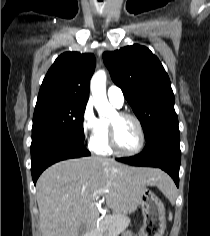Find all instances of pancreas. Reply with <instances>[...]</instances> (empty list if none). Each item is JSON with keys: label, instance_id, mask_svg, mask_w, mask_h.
<instances>
[{"label": "pancreas", "instance_id": "obj_1", "mask_svg": "<svg viewBox=\"0 0 210 236\" xmlns=\"http://www.w3.org/2000/svg\"><path fill=\"white\" fill-rule=\"evenodd\" d=\"M130 224V219L120 212H114L111 215H107L102 219L97 226L93 227L89 231V236H104L108 231L111 235L115 236L124 231Z\"/></svg>", "mask_w": 210, "mask_h": 236}]
</instances>
